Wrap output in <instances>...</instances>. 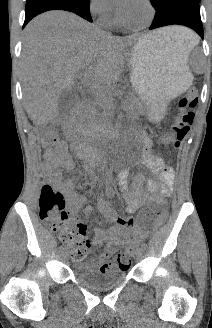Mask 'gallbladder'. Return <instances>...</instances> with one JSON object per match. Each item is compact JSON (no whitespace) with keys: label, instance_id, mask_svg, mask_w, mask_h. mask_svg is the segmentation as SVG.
<instances>
[{"label":"gallbladder","instance_id":"1","mask_svg":"<svg viewBox=\"0 0 212 328\" xmlns=\"http://www.w3.org/2000/svg\"><path fill=\"white\" fill-rule=\"evenodd\" d=\"M76 103L75 90H64L58 98V115L60 118L66 117Z\"/></svg>","mask_w":212,"mask_h":328}]
</instances>
